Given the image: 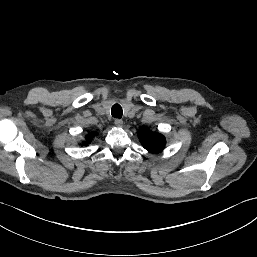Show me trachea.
<instances>
[{
	"label": "trachea",
	"mask_w": 257,
	"mask_h": 257,
	"mask_svg": "<svg viewBox=\"0 0 257 257\" xmlns=\"http://www.w3.org/2000/svg\"><path fill=\"white\" fill-rule=\"evenodd\" d=\"M111 114L115 118H121L123 114L122 107L119 104H114L111 108Z\"/></svg>",
	"instance_id": "obj_1"
}]
</instances>
